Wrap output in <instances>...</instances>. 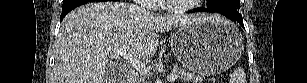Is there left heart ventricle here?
<instances>
[{"label": "left heart ventricle", "instance_id": "1", "mask_svg": "<svg viewBox=\"0 0 307 83\" xmlns=\"http://www.w3.org/2000/svg\"><path fill=\"white\" fill-rule=\"evenodd\" d=\"M171 3H189L192 0H170Z\"/></svg>", "mask_w": 307, "mask_h": 83}]
</instances>
